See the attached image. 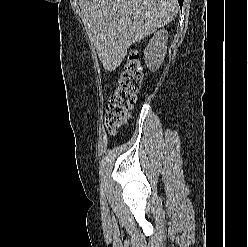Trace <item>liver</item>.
<instances>
[{
    "label": "liver",
    "mask_w": 248,
    "mask_h": 247,
    "mask_svg": "<svg viewBox=\"0 0 248 247\" xmlns=\"http://www.w3.org/2000/svg\"><path fill=\"white\" fill-rule=\"evenodd\" d=\"M81 18L107 71H115L128 48L170 23L177 0H79Z\"/></svg>",
    "instance_id": "6515ba94"
}]
</instances>
